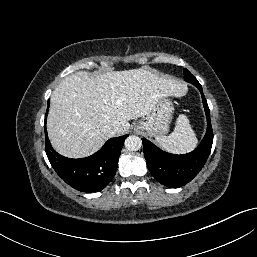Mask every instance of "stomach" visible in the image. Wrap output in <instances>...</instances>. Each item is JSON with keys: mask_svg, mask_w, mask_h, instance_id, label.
<instances>
[{"mask_svg": "<svg viewBox=\"0 0 257 257\" xmlns=\"http://www.w3.org/2000/svg\"><path fill=\"white\" fill-rule=\"evenodd\" d=\"M173 104L167 97L160 98L150 113L135 125L136 130L146 131L149 136H164L169 129Z\"/></svg>", "mask_w": 257, "mask_h": 257, "instance_id": "stomach-1", "label": "stomach"}]
</instances>
